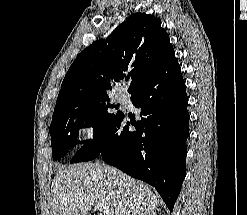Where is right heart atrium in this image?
Instances as JSON below:
<instances>
[{"instance_id":"1","label":"right heart atrium","mask_w":247,"mask_h":215,"mask_svg":"<svg viewBox=\"0 0 247 215\" xmlns=\"http://www.w3.org/2000/svg\"><path fill=\"white\" fill-rule=\"evenodd\" d=\"M77 132L83 139L92 140L97 135V127L89 117H84L77 125Z\"/></svg>"}]
</instances>
